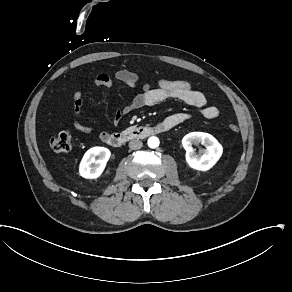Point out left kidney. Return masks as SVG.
<instances>
[{
	"mask_svg": "<svg viewBox=\"0 0 292 292\" xmlns=\"http://www.w3.org/2000/svg\"><path fill=\"white\" fill-rule=\"evenodd\" d=\"M203 143V154L195 155L192 144ZM182 146L186 150V162L196 171L206 172L212 169L223 154V147L217 139L209 133L191 132L182 139Z\"/></svg>",
	"mask_w": 292,
	"mask_h": 292,
	"instance_id": "obj_1",
	"label": "left kidney"
}]
</instances>
